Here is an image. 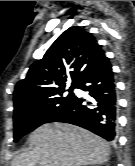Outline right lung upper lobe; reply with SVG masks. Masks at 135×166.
Wrapping results in <instances>:
<instances>
[{
  "label": "right lung upper lobe",
  "instance_id": "cb5924a9",
  "mask_svg": "<svg viewBox=\"0 0 135 166\" xmlns=\"http://www.w3.org/2000/svg\"><path fill=\"white\" fill-rule=\"evenodd\" d=\"M107 59L91 33L77 26L68 28L43 58L32 64L26 78L17 83L14 109L56 95L65 89L68 80L75 87L84 75Z\"/></svg>",
  "mask_w": 135,
  "mask_h": 166
}]
</instances>
